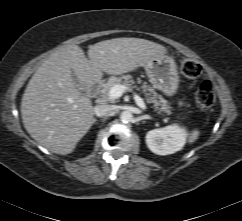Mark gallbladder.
<instances>
[{
	"mask_svg": "<svg viewBox=\"0 0 242 221\" xmlns=\"http://www.w3.org/2000/svg\"><path fill=\"white\" fill-rule=\"evenodd\" d=\"M72 79L76 85V87L78 88L79 92L82 94V95H85L86 94V88L84 87V85H82L78 79V77L72 72Z\"/></svg>",
	"mask_w": 242,
	"mask_h": 221,
	"instance_id": "bac80fb5",
	"label": "gallbladder"
}]
</instances>
